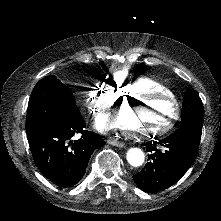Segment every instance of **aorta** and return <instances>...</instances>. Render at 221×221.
I'll return each mask as SVG.
<instances>
[{
    "mask_svg": "<svg viewBox=\"0 0 221 221\" xmlns=\"http://www.w3.org/2000/svg\"><path fill=\"white\" fill-rule=\"evenodd\" d=\"M126 159L131 166L139 167L144 163L145 154L139 148H130L127 151Z\"/></svg>",
    "mask_w": 221,
    "mask_h": 221,
    "instance_id": "1",
    "label": "aorta"
}]
</instances>
